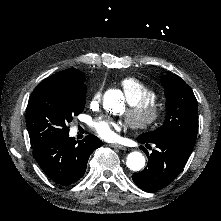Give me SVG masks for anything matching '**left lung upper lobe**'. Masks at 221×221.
<instances>
[{
    "instance_id": "1",
    "label": "left lung upper lobe",
    "mask_w": 221,
    "mask_h": 221,
    "mask_svg": "<svg viewBox=\"0 0 221 221\" xmlns=\"http://www.w3.org/2000/svg\"><path fill=\"white\" fill-rule=\"evenodd\" d=\"M166 95V120L155 131L142 137H170L193 149L198 132L197 99L192 89L179 76L167 74L161 78Z\"/></svg>"
}]
</instances>
